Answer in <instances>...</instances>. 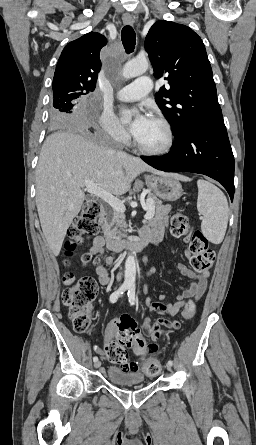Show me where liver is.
<instances>
[{
    "instance_id": "obj_1",
    "label": "liver",
    "mask_w": 256,
    "mask_h": 445,
    "mask_svg": "<svg viewBox=\"0 0 256 445\" xmlns=\"http://www.w3.org/2000/svg\"><path fill=\"white\" fill-rule=\"evenodd\" d=\"M168 175L140 158L75 132H56L42 146L36 168V205L44 237L58 256L67 229L80 212L85 180L114 195L129 191L142 172ZM176 179L181 176L172 175Z\"/></svg>"
}]
</instances>
